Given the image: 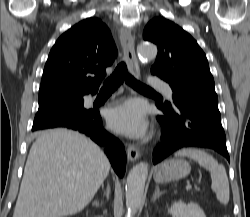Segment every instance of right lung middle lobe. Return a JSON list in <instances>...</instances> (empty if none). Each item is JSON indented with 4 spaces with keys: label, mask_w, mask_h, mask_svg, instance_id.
Instances as JSON below:
<instances>
[{
    "label": "right lung middle lobe",
    "mask_w": 250,
    "mask_h": 217,
    "mask_svg": "<svg viewBox=\"0 0 250 217\" xmlns=\"http://www.w3.org/2000/svg\"><path fill=\"white\" fill-rule=\"evenodd\" d=\"M89 111L83 108L82 98L58 101L39 107L35 116L32 131L61 120H78L85 117Z\"/></svg>",
    "instance_id": "1"
}]
</instances>
